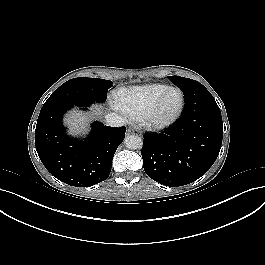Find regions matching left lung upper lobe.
<instances>
[{
	"label": "left lung upper lobe",
	"instance_id": "left-lung-upper-lobe-1",
	"mask_svg": "<svg viewBox=\"0 0 265 265\" xmlns=\"http://www.w3.org/2000/svg\"><path fill=\"white\" fill-rule=\"evenodd\" d=\"M168 78L180 89H182L183 87H187L190 84H198L202 86L205 90V99H204L205 104L211 105V106H217V103L215 99L213 98V96L211 95V93L199 82L189 79V78H184V77H179V76H169Z\"/></svg>",
	"mask_w": 265,
	"mask_h": 265
}]
</instances>
